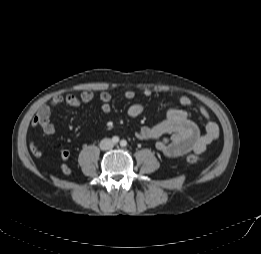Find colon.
Returning <instances> with one entry per match:
<instances>
[{
	"mask_svg": "<svg viewBox=\"0 0 261 254\" xmlns=\"http://www.w3.org/2000/svg\"><path fill=\"white\" fill-rule=\"evenodd\" d=\"M186 159L192 165H200L203 162V159L195 154H189Z\"/></svg>",
	"mask_w": 261,
	"mask_h": 254,
	"instance_id": "obj_1",
	"label": "colon"
}]
</instances>
